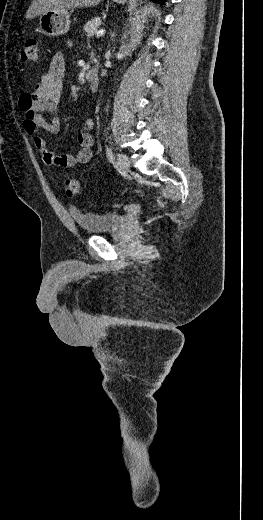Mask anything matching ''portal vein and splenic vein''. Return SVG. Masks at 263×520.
<instances>
[{
    "label": "portal vein and splenic vein",
    "instance_id": "obj_1",
    "mask_svg": "<svg viewBox=\"0 0 263 520\" xmlns=\"http://www.w3.org/2000/svg\"><path fill=\"white\" fill-rule=\"evenodd\" d=\"M104 33H105V30H104V29H100V30H98V31L96 32V36H97V37H100V36L104 35Z\"/></svg>",
    "mask_w": 263,
    "mask_h": 520
}]
</instances>
